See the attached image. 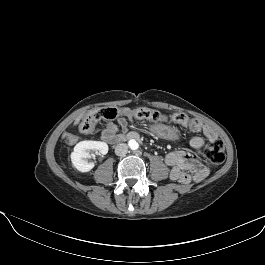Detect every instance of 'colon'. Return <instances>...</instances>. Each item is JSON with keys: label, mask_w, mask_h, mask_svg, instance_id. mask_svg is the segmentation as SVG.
Wrapping results in <instances>:
<instances>
[{"label": "colon", "mask_w": 265, "mask_h": 265, "mask_svg": "<svg viewBox=\"0 0 265 265\" xmlns=\"http://www.w3.org/2000/svg\"><path fill=\"white\" fill-rule=\"evenodd\" d=\"M120 114L131 115L137 119H146L153 123L173 122L184 126H192L193 124V121L183 113L166 115L157 110L148 108L120 109L113 106H106L97 108L83 117L79 122L78 130L81 133L90 134L94 131L97 122L102 120H113ZM204 156L213 167L221 165L225 160V150L222 141L219 139L210 141L204 149Z\"/></svg>", "instance_id": "obj_1"}]
</instances>
